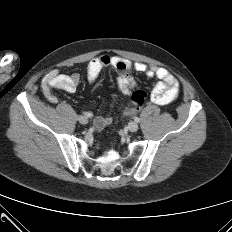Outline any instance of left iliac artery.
Wrapping results in <instances>:
<instances>
[{
	"label": "left iliac artery",
	"mask_w": 232,
	"mask_h": 232,
	"mask_svg": "<svg viewBox=\"0 0 232 232\" xmlns=\"http://www.w3.org/2000/svg\"><path fill=\"white\" fill-rule=\"evenodd\" d=\"M134 120H135V122H137V123L140 122V119H139L138 117H135Z\"/></svg>",
	"instance_id": "44dca946"
}]
</instances>
